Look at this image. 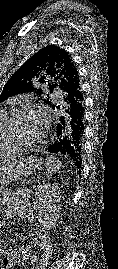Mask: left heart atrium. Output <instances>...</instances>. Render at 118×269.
<instances>
[{
  "instance_id": "39dd6f15",
  "label": "left heart atrium",
  "mask_w": 118,
  "mask_h": 269,
  "mask_svg": "<svg viewBox=\"0 0 118 269\" xmlns=\"http://www.w3.org/2000/svg\"><path fill=\"white\" fill-rule=\"evenodd\" d=\"M34 114L37 120L42 124L44 128V125L46 124V118L44 112L42 110H36Z\"/></svg>"
}]
</instances>
